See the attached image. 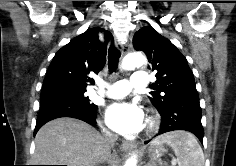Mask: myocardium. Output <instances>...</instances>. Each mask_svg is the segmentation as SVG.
<instances>
[{
    "instance_id": "myocardium-1",
    "label": "myocardium",
    "mask_w": 236,
    "mask_h": 166,
    "mask_svg": "<svg viewBox=\"0 0 236 166\" xmlns=\"http://www.w3.org/2000/svg\"><path fill=\"white\" fill-rule=\"evenodd\" d=\"M158 123H159L158 117L156 115H150L147 119V128H146L147 133L151 134L154 131H156Z\"/></svg>"
}]
</instances>
